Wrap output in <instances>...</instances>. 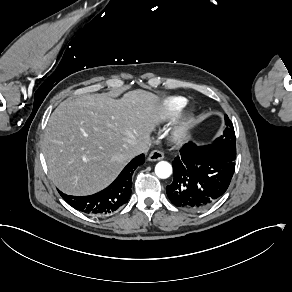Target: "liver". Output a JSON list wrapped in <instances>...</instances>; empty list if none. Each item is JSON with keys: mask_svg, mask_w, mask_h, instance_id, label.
<instances>
[{"mask_svg": "<svg viewBox=\"0 0 292 292\" xmlns=\"http://www.w3.org/2000/svg\"><path fill=\"white\" fill-rule=\"evenodd\" d=\"M166 118L160 98L142 89L118 100L101 93L63 101L52 113L41 142L49 177L68 195L103 190Z\"/></svg>", "mask_w": 292, "mask_h": 292, "instance_id": "liver-1", "label": "liver"}]
</instances>
